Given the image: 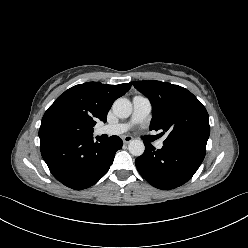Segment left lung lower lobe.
Segmentation results:
<instances>
[{
    "label": "left lung lower lobe",
    "instance_id": "0a47b994",
    "mask_svg": "<svg viewBox=\"0 0 248 248\" xmlns=\"http://www.w3.org/2000/svg\"><path fill=\"white\" fill-rule=\"evenodd\" d=\"M145 152L135 160L141 176L152 186L170 190L177 188L195 174L206 151L196 148L164 145L161 149L144 142Z\"/></svg>",
    "mask_w": 248,
    "mask_h": 248
}]
</instances>
